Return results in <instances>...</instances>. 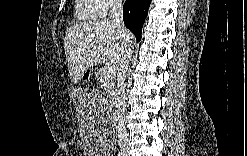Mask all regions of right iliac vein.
<instances>
[{
    "mask_svg": "<svg viewBox=\"0 0 247 156\" xmlns=\"http://www.w3.org/2000/svg\"><path fill=\"white\" fill-rule=\"evenodd\" d=\"M129 148L126 145L121 146V151L124 153V155H127Z\"/></svg>",
    "mask_w": 247,
    "mask_h": 156,
    "instance_id": "1",
    "label": "right iliac vein"
}]
</instances>
